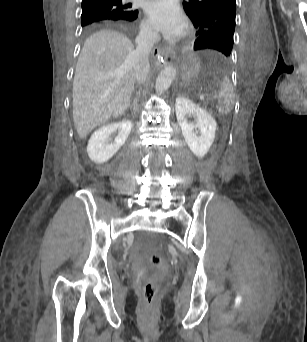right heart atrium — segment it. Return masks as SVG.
<instances>
[{
	"instance_id": "1",
	"label": "right heart atrium",
	"mask_w": 307,
	"mask_h": 342,
	"mask_svg": "<svg viewBox=\"0 0 307 342\" xmlns=\"http://www.w3.org/2000/svg\"><path fill=\"white\" fill-rule=\"evenodd\" d=\"M142 30H143V32H145V33L149 32V29L147 28V26H143Z\"/></svg>"
}]
</instances>
